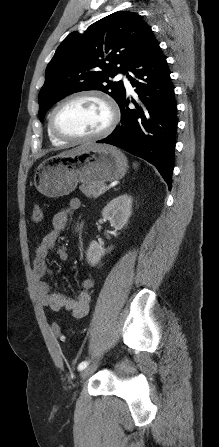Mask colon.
<instances>
[{
    "label": "colon",
    "mask_w": 219,
    "mask_h": 447,
    "mask_svg": "<svg viewBox=\"0 0 219 447\" xmlns=\"http://www.w3.org/2000/svg\"><path fill=\"white\" fill-rule=\"evenodd\" d=\"M32 221L36 224L43 222V212L39 206H34L32 211ZM53 334L58 339H63V331L58 324L52 326Z\"/></svg>",
    "instance_id": "5ec220e1"
}]
</instances>
